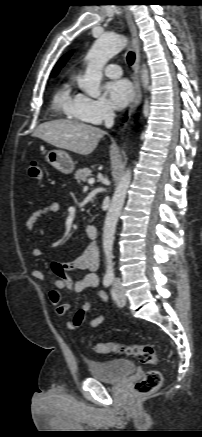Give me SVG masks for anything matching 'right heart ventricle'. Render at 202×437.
I'll use <instances>...</instances> for the list:
<instances>
[{
	"label": "right heart ventricle",
	"mask_w": 202,
	"mask_h": 437,
	"mask_svg": "<svg viewBox=\"0 0 202 437\" xmlns=\"http://www.w3.org/2000/svg\"><path fill=\"white\" fill-rule=\"evenodd\" d=\"M79 94H75L72 90V81L68 80L64 82L57 90L53 98V106L55 109L63 112L68 117L85 121L77 112V100Z\"/></svg>",
	"instance_id": "e07e8e85"
}]
</instances>
